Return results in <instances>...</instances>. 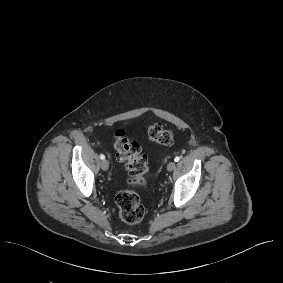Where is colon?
I'll return each instance as SVG.
<instances>
[{"instance_id":"colon-1","label":"colon","mask_w":283,"mask_h":283,"mask_svg":"<svg viewBox=\"0 0 283 283\" xmlns=\"http://www.w3.org/2000/svg\"><path fill=\"white\" fill-rule=\"evenodd\" d=\"M147 136L150 141L163 146L173 143V134L160 123H153L147 128ZM114 149L118 160L125 162L128 171V183L131 186H144L145 174L148 172V158L141 153L138 143L129 140L124 130L119 129L114 133ZM119 209V215L128 225L141 223L145 216L144 207L135 190L121 191L115 198Z\"/></svg>"}]
</instances>
